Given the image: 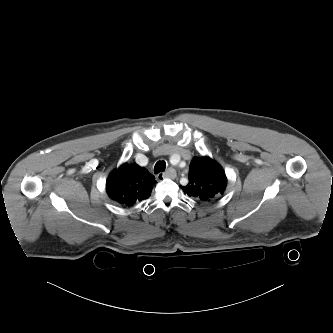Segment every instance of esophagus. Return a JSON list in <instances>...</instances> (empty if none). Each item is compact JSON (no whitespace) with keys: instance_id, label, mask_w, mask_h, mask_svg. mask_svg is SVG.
I'll return each mask as SVG.
<instances>
[{"instance_id":"1","label":"esophagus","mask_w":333,"mask_h":333,"mask_svg":"<svg viewBox=\"0 0 333 333\" xmlns=\"http://www.w3.org/2000/svg\"><path fill=\"white\" fill-rule=\"evenodd\" d=\"M175 177H176V171L173 168H169L167 171L159 173L157 175L158 180H162L165 178L175 179Z\"/></svg>"}]
</instances>
